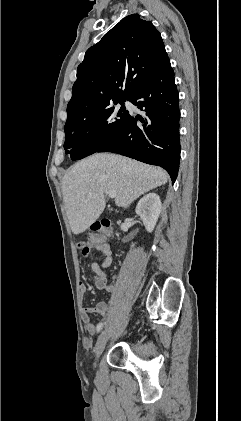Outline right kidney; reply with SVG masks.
<instances>
[{"label": "right kidney", "instance_id": "1", "mask_svg": "<svg viewBox=\"0 0 241 421\" xmlns=\"http://www.w3.org/2000/svg\"><path fill=\"white\" fill-rule=\"evenodd\" d=\"M161 200L155 193H149L140 199L135 212L143 221L148 232H152L161 213Z\"/></svg>", "mask_w": 241, "mask_h": 421}]
</instances>
